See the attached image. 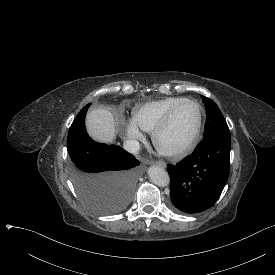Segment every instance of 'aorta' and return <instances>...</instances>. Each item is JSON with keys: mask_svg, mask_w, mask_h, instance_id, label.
Segmentation results:
<instances>
[{"mask_svg": "<svg viewBox=\"0 0 275 275\" xmlns=\"http://www.w3.org/2000/svg\"><path fill=\"white\" fill-rule=\"evenodd\" d=\"M148 175L152 183L159 187H166L169 185V175L164 168L159 166H151L148 168Z\"/></svg>", "mask_w": 275, "mask_h": 275, "instance_id": "obj_1", "label": "aorta"}]
</instances>
